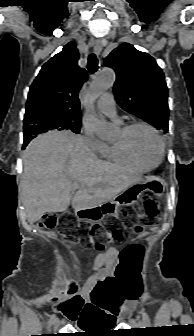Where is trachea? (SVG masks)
<instances>
[{
	"label": "trachea",
	"mask_w": 194,
	"mask_h": 336,
	"mask_svg": "<svg viewBox=\"0 0 194 336\" xmlns=\"http://www.w3.org/2000/svg\"><path fill=\"white\" fill-rule=\"evenodd\" d=\"M88 71L93 74L98 70V60L95 54H91L88 58Z\"/></svg>",
	"instance_id": "obj_1"
}]
</instances>
